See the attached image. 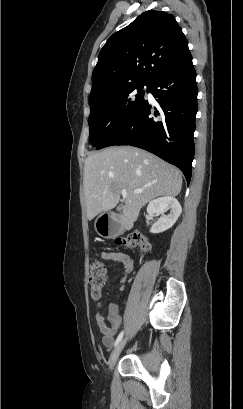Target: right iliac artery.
I'll list each match as a JSON object with an SVG mask.
<instances>
[{
    "instance_id": "right-iliac-artery-1",
    "label": "right iliac artery",
    "mask_w": 243,
    "mask_h": 409,
    "mask_svg": "<svg viewBox=\"0 0 243 409\" xmlns=\"http://www.w3.org/2000/svg\"><path fill=\"white\" fill-rule=\"evenodd\" d=\"M123 335H124V331H122L119 335H118V337H117V339H116V341H115V344H114V346H117L118 344H119V342L122 340V338H123Z\"/></svg>"
}]
</instances>
